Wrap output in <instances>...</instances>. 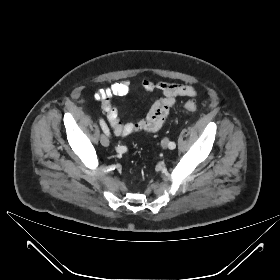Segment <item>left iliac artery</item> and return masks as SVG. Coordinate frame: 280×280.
I'll return each instance as SVG.
<instances>
[{
    "label": "left iliac artery",
    "instance_id": "44dca946",
    "mask_svg": "<svg viewBox=\"0 0 280 280\" xmlns=\"http://www.w3.org/2000/svg\"><path fill=\"white\" fill-rule=\"evenodd\" d=\"M168 147H169V149L173 150L176 148V144L174 142H170Z\"/></svg>",
    "mask_w": 280,
    "mask_h": 280
}]
</instances>
